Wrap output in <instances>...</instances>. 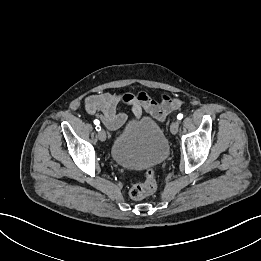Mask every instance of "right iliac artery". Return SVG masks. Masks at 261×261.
<instances>
[{"label": "right iliac artery", "instance_id": "1", "mask_svg": "<svg viewBox=\"0 0 261 261\" xmlns=\"http://www.w3.org/2000/svg\"><path fill=\"white\" fill-rule=\"evenodd\" d=\"M94 124L96 125V130L97 131H100L101 130V126L99 125L100 124V121L98 119H95L94 120Z\"/></svg>", "mask_w": 261, "mask_h": 261}]
</instances>
